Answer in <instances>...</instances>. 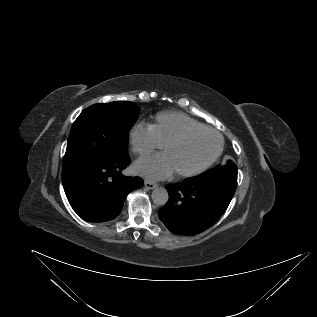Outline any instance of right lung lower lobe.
Instances as JSON below:
<instances>
[{"mask_svg":"<svg viewBox=\"0 0 317 317\" xmlns=\"http://www.w3.org/2000/svg\"><path fill=\"white\" fill-rule=\"evenodd\" d=\"M129 163L130 157L123 155L62 173L63 187L74 211L90 222L114 219L129 192L143 185L139 177L121 173Z\"/></svg>","mask_w":317,"mask_h":317,"instance_id":"1","label":"right lung lower lobe"}]
</instances>
